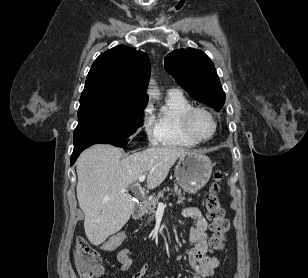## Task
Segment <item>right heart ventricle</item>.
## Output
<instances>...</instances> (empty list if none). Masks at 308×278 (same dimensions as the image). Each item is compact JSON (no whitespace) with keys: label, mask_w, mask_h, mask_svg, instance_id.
Returning a JSON list of instances; mask_svg holds the SVG:
<instances>
[{"label":"right heart ventricle","mask_w":308,"mask_h":278,"mask_svg":"<svg viewBox=\"0 0 308 278\" xmlns=\"http://www.w3.org/2000/svg\"><path fill=\"white\" fill-rule=\"evenodd\" d=\"M191 106L190 101L181 93L166 96L164 108L154 116L158 145L191 148L197 144L184 134L179 121L181 113Z\"/></svg>","instance_id":"right-heart-ventricle-1"}]
</instances>
